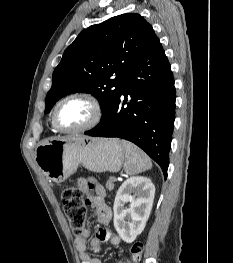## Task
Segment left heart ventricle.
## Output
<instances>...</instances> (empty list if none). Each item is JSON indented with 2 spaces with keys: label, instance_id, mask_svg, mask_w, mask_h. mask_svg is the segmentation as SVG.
<instances>
[{
  "label": "left heart ventricle",
  "instance_id": "left-heart-ventricle-1",
  "mask_svg": "<svg viewBox=\"0 0 233 263\" xmlns=\"http://www.w3.org/2000/svg\"><path fill=\"white\" fill-rule=\"evenodd\" d=\"M92 108L84 100L72 99L64 102L57 113L58 125L63 129H77L92 117Z\"/></svg>",
  "mask_w": 233,
  "mask_h": 263
}]
</instances>
